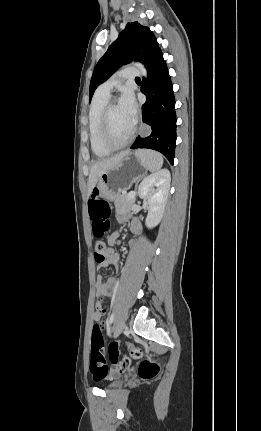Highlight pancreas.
I'll list each match as a JSON object with an SVG mask.
<instances>
[{
	"mask_svg": "<svg viewBox=\"0 0 261 431\" xmlns=\"http://www.w3.org/2000/svg\"><path fill=\"white\" fill-rule=\"evenodd\" d=\"M134 203L135 198L128 199V194H118L114 198V204L117 213L130 211Z\"/></svg>",
	"mask_w": 261,
	"mask_h": 431,
	"instance_id": "1",
	"label": "pancreas"
}]
</instances>
